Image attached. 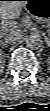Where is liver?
Here are the masks:
<instances>
[{
    "instance_id": "liver-1",
    "label": "liver",
    "mask_w": 50,
    "mask_h": 111,
    "mask_svg": "<svg viewBox=\"0 0 50 111\" xmlns=\"http://www.w3.org/2000/svg\"><path fill=\"white\" fill-rule=\"evenodd\" d=\"M26 4V0L2 1L0 3V17L4 20H10V23H12L11 20L19 17Z\"/></svg>"
}]
</instances>
